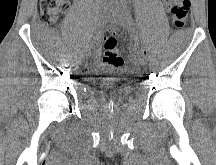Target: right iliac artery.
Wrapping results in <instances>:
<instances>
[{
	"label": "right iliac artery",
	"instance_id": "right-iliac-artery-1",
	"mask_svg": "<svg viewBox=\"0 0 216 165\" xmlns=\"http://www.w3.org/2000/svg\"><path fill=\"white\" fill-rule=\"evenodd\" d=\"M103 28H104V25H103L102 28L100 29L99 34L102 32ZM92 44H93V41H92V40H89L87 45L90 47Z\"/></svg>",
	"mask_w": 216,
	"mask_h": 165
}]
</instances>
